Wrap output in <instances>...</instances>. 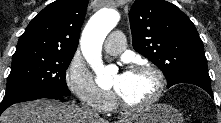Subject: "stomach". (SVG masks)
<instances>
[{
	"label": "stomach",
	"instance_id": "obj_1",
	"mask_svg": "<svg viewBox=\"0 0 221 123\" xmlns=\"http://www.w3.org/2000/svg\"><path fill=\"white\" fill-rule=\"evenodd\" d=\"M129 123H183V118L171 105L154 104L134 114Z\"/></svg>",
	"mask_w": 221,
	"mask_h": 123
}]
</instances>
